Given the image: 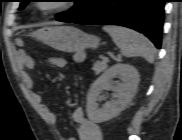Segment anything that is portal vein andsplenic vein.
<instances>
[{"mask_svg": "<svg viewBox=\"0 0 182 140\" xmlns=\"http://www.w3.org/2000/svg\"><path fill=\"white\" fill-rule=\"evenodd\" d=\"M102 60H103L104 62H108V61H109V59H108L107 57H104V56H102Z\"/></svg>", "mask_w": 182, "mask_h": 140, "instance_id": "1", "label": "portal vein and splenic vein"}]
</instances>
